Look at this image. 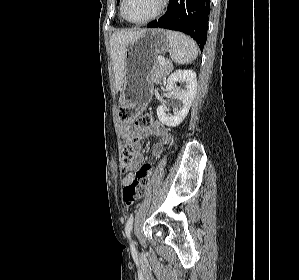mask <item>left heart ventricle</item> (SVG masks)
Returning a JSON list of instances; mask_svg holds the SVG:
<instances>
[{"mask_svg":"<svg viewBox=\"0 0 299 280\" xmlns=\"http://www.w3.org/2000/svg\"><path fill=\"white\" fill-rule=\"evenodd\" d=\"M160 0H127L126 14L131 20L139 21L151 16Z\"/></svg>","mask_w":299,"mask_h":280,"instance_id":"1","label":"left heart ventricle"}]
</instances>
